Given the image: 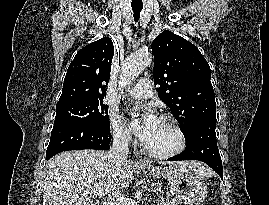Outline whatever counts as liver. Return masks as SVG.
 <instances>
[{
	"mask_svg": "<svg viewBox=\"0 0 269 205\" xmlns=\"http://www.w3.org/2000/svg\"><path fill=\"white\" fill-rule=\"evenodd\" d=\"M167 163H162L166 166ZM194 172L206 175L204 164L174 162ZM134 166L125 161L120 165L108 157V152L78 150L63 152L46 165L43 205H96L93 189H101L108 196L118 189L128 187L133 181Z\"/></svg>",
	"mask_w": 269,
	"mask_h": 205,
	"instance_id": "1",
	"label": "liver"
}]
</instances>
